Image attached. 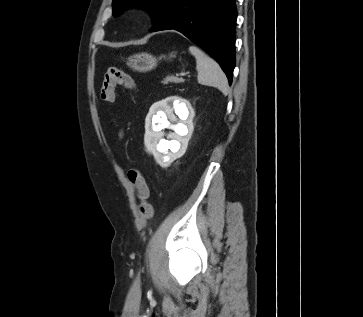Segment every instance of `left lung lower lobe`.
I'll return each instance as SVG.
<instances>
[{"label": "left lung lower lobe", "instance_id": "0a47b994", "mask_svg": "<svg viewBox=\"0 0 363 317\" xmlns=\"http://www.w3.org/2000/svg\"><path fill=\"white\" fill-rule=\"evenodd\" d=\"M236 18L235 0H167L149 31L181 32L220 64L231 84Z\"/></svg>", "mask_w": 363, "mask_h": 317}]
</instances>
